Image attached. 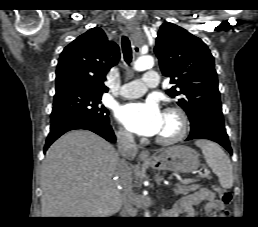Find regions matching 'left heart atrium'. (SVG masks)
<instances>
[{
    "mask_svg": "<svg viewBox=\"0 0 258 227\" xmlns=\"http://www.w3.org/2000/svg\"><path fill=\"white\" fill-rule=\"evenodd\" d=\"M163 115L158 103L154 100L129 103L117 112V118L124 126L144 136L158 134L162 126Z\"/></svg>",
    "mask_w": 258,
    "mask_h": 227,
    "instance_id": "1",
    "label": "left heart atrium"
}]
</instances>
